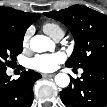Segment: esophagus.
<instances>
[{
  "instance_id": "1",
  "label": "esophagus",
  "mask_w": 107,
  "mask_h": 107,
  "mask_svg": "<svg viewBox=\"0 0 107 107\" xmlns=\"http://www.w3.org/2000/svg\"><path fill=\"white\" fill-rule=\"evenodd\" d=\"M44 78H51V77H54L55 74H43L42 75Z\"/></svg>"
}]
</instances>
